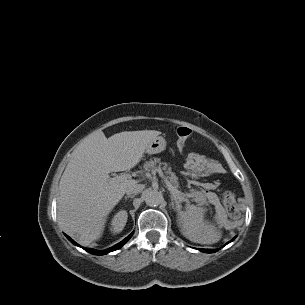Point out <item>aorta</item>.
Listing matches in <instances>:
<instances>
[{"label": "aorta", "mask_w": 305, "mask_h": 305, "mask_svg": "<svg viewBox=\"0 0 305 305\" xmlns=\"http://www.w3.org/2000/svg\"><path fill=\"white\" fill-rule=\"evenodd\" d=\"M162 194L157 190H147L144 194V200L150 207L159 206L162 202Z\"/></svg>", "instance_id": "obj_1"}]
</instances>
